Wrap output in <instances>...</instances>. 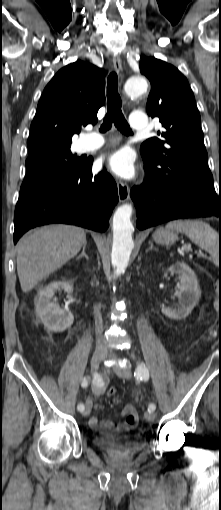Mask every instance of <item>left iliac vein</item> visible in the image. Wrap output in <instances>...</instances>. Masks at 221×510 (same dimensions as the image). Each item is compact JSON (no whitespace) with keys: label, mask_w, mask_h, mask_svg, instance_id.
Here are the masks:
<instances>
[{"label":"left iliac vein","mask_w":221,"mask_h":510,"mask_svg":"<svg viewBox=\"0 0 221 510\" xmlns=\"http://www.w3.org/2000/svg\"><path fill=\"white\" fill-rule=\"evenodd\" d=\"M114 371L121 378L130 379L132 377V372L129 367H120V366L116 365V366H114ZM144 418L148 422H153L156 418V415L152 411H146L144 413Z\"/></svg>","instance_id":"obj_1"}]
</instances>
